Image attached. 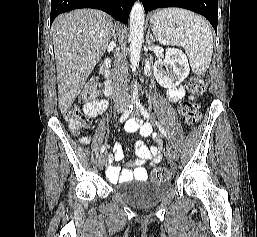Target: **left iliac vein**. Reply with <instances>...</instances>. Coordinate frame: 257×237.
Segmentation results:
<instances>
[{"label": "left iliac vein", "instance_id": "left-iliac-vein-1", "mask_svg": "<svg viewBox=\"0 0 257 237\" xmlns=\"http://www.w3.org/2000/svg\"><path fill=\"white\" fill-rule=\"evenodd\" d=\"M136 114H137V111L135 110L134 115H136ZM167 153H168V157H169L170 160H176L178 158V152H177L176 148L173 147V146H170L168 148Z\"/></svg>", "mask_w": 257, "mask_h": 237}]
</instances>
